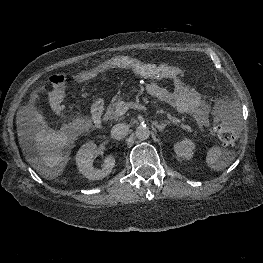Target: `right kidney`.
<instances>
[{
    "instance_id": "ca27d5eb",
    "label": "right kidney",
    "mask_w": 263,
    "mask_h": 263,
    "mask_svg": "<svg viewBox=\"0 0 263 263\" xmlns=\"http://www.w3.org/2000/svg\"><path fill=\"white\" fill-rule=\"evenodd\" d=\"M97 146L93 142L84 144L76 155V164L81 174L90 180H100L108 176L115 166V158L107 156L104 159L103 168L95 169L92 165Z\"/></svg>"
}]
</instances>
